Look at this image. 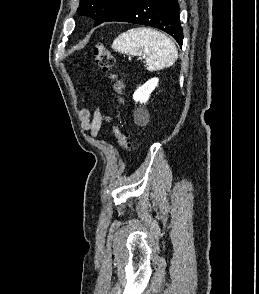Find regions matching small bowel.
<instances>
[{
	"instance_id": "1",
	"label": "small bowel",
	"mask_w": 259,
	"mask_h": 294,
	"mask_svg": "<svg viewBox=\"0 0 259 294\" xmlns=\"http://www.w3.org/2000/svg\"><path fill=\"white\" fill-rule=\"evenodd\" d=\"M78 116L82 128L93 137L97 136L104 122H111V117L103 114L99 108L91 113L89 109L82 107L78 110Z\"/></svg>"
}]
</instances>
